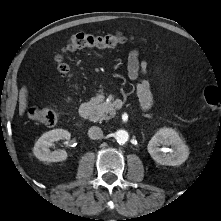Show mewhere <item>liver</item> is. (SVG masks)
Listing matches in <instances>:
<instances>
[{
    "label": "liver",
    "instance_id": "liver-1",
    "mask_svg": "<svg viewBox=\"0 0 221 221\" xmlns=\"http://www.w3.org/2000/svg\"><path fill=\"white\" fill-rule=\"evenodd\" d=\"M27 107V88L22 87L19 94V115L22 116Z\"/></svg>",
    "mask_w": 221,
    "mask_h": 221
}]
</instances>
